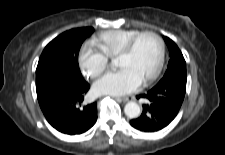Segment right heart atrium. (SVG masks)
<instances>
[{"mask_svg": "<svg viewBox=\"0 0 225 155\" xmlns=\"http://www.w3.org/2000/svg\"><path fill=\"white\" fill-rule=\"evenodd\" d=\"M78 63L82 73L88 78L101 75L108 66V58L98 49L89 44L82 46L78 56Z\"/></svg>", "mask_w": 225, "mask_h": 155, "instance_id": "right-heart-atrium-1", "label": "right heart atrium"}]
</instances>
